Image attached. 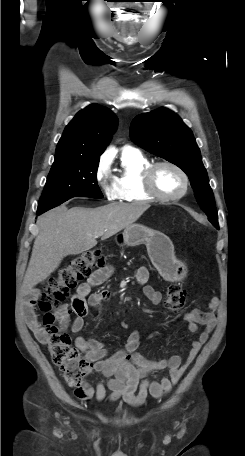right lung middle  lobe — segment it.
<instances>
[{"label": "right lung middle lobe", "instance_id": "dd1d6c3e", "mask_svg": "<svg viewBox=\"0 0 245 456\" xmlns=\"http://www.w3.org/2000/svg\"><path fill=\"white\" fill-rule=\"evenodd\" d=\"M99 158H77L53 163L39 201L43 213L73 197L102 198L97 185Z\"/></svg>", "mask_w": 245, "mask_h": 456}]
</instances>
